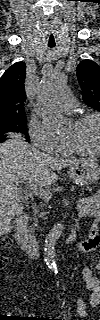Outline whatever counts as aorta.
Instances as JSON below:
<instances>
[{
  "label": "aorta",
  "mask_w": 100,
  "mask_h": 320,
  "mask_svg": "<svg viewBox=\"0 0 100 320\" xmlns=\"http://www.w3.org/2000/svg\"><path fill=\"white\" fill-rule=\"evenodd\" d=\"M65 80L66 75L64 73L53 72L43 78L39 88L38 106L40 114L46 126L53 131L64 130L69 125V120L54 106L56 99L64 89ZM64 228L62 223L54 225L45 238L44 261L55 274H58L55 245Z\"/></svg>",
  "instance_id": "obj_1"
}]
</instances>
